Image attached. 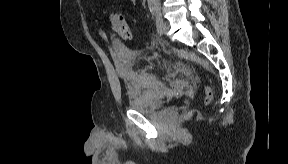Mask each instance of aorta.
Here are the masks:
<instances>
[{
    "mask_svg": "<svg viewBox=\"0 0 288 164\" xmlns=\"http://www.w3.org/2000/svg\"><path fill=\"white\" fill-rule=\"evenodd\" d=\"M149 8L150 10H153V8H160V2L159 0H148Z\"/></svg>",
    "mask_w": 288,
    "mask_h": 164,
    "instance_id": "1",
    "label": "aorta"
}]
</instances>
